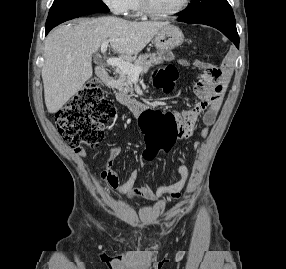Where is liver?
I'll list each match as a JSON object with an SVG mask.
<instances>
[{"label":"liver","instance_id":"liver-1","mask_svg":"<svg viewBox=\"0 0 286 269\" xmlns=\"http://www.w3.org/2000/svg\"><path fill=\"white\" fill-rule=\"evenodd\" d=\"M168 24L99 17L78 19L53 30L45 40L41 72L48 112L56 113L91 78L92 54L103 41L111 40L113 51L130 63Z\"/></svg>","mask_w":286,"mask_h":269}]
</instances>
